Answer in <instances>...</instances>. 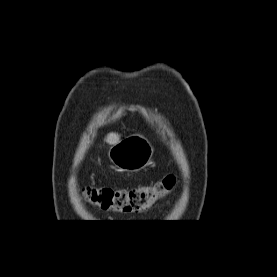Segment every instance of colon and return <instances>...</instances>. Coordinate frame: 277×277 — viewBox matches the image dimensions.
<instances>
[{"label":"colon","instance_id":"5ec220e1","mask_svg":"<svg viewBox=\"0 0 277 277\" xmlns=\"http://www.w3.org/2000/svg\"><path fill=\"white\" fill-rule=\"evenodd\" d=\"M174 186L175 179L167 176L153 185L130 189L87 187L84 195L90 204L104 210L140 213L169 195Z\"/></svg>","mask_w":277,"mask_h":277}]
</instances>
